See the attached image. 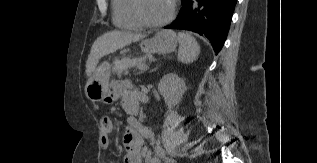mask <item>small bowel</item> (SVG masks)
<instances>
[{
  "instance_id": "obj_1",
  "label": "small bowel",
  "mask_w": 317,
  "mask_h": 163,
  "mask_svg": "<svg viewBox=\"0 0 317 163\" xmlns=\"http://www.w3.org/2000/svg\"><path fill=\"white\" fill-rule=\"evenodd\" d=\"M112 99H120L123 109L130 114L127 119L128 128L123 141L125 146L124 163H161L158 149L144 146V140H150L151 134L134 115L139 110L141 95L127 83L117 84L114 87ZM113 123L110 118H104L100 124V147L109 149L111 146L110 134Z\"/></svg>"
}]
</instances>
